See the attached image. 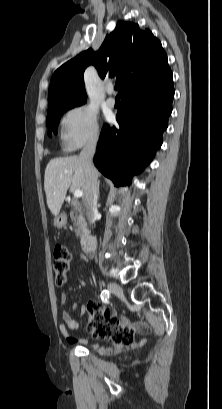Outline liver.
<instances>
[{"mask_svg":"<svg viewBox=\"0 0 222 409\" xmlns=\"http://www.w3.org/2000/svg\"><path fill=\"white\" fill-rule=\"evenodd\" d=\"M85 172L78 156L54 158L45 169L44 190L51 213L57 216L64 202L67 190L83 188Z\"/></svg>","mask_w":222,"mask_h":409,"instance_id":"1","label":"liver"}]
</instances>
